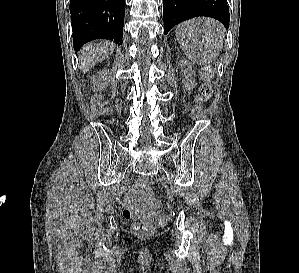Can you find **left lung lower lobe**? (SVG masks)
<instances>
[{"label": "left lung lower lobe", "mask_w": 299, "mask_h": 273, "mask_svg": "<svg viewBox=\"0 0 299 273\" xmlns=\"http://www.w3.org/2000/svg\"><path fill=\"white\" fill-rule=\"evenodd\" d=\"M196 16H208L228 27L230 15L226 0H163L164 33L176 24Z\"/></svg>", "instance_id": "1"}]
</instances>
